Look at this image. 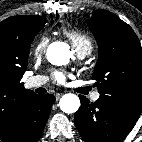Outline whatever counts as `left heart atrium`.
<instances>
[{"instance_id":"39dd6f15","label":"left heart atrium","mask_w":142,"mask_h":142,"mask_svg":"<svg viewBox=\"0 0 142 142\" xmlns=\"http://www.w3.org/2000/svg\"><path fill=\"white\" fill-rule=\"evenodd\" d=\"M54 79L57 83L63 84L66 80V74L64 72H55L54 73Z\"/></svg>"}]
</instances>
